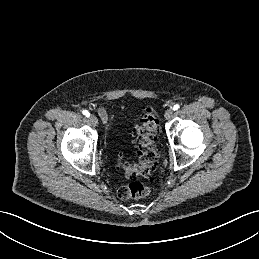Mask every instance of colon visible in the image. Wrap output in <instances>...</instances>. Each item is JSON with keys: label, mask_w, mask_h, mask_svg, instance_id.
<instances>
[{"label": "colon", "mask_w": 259, "mask_h": 259, "mask_svg": "<svg viewBox=\"0 0 259 259\" xmlns=\"http://www.w3.org/2000/svg\"><path fill=\"white\" fill-rule=\"evenodd\" d=\"M159 122L151 109H146L136 127V144L139 162L130 163L119 158L120 165L125 171L126 175L132 179L133 182L121 187L117 194L118 197L127 199H141L149 195L150 187L144 185L135 179L137 177H150L153 168L158 159L156 150L157 132Z\"/></svg>", "instance_id": "1"}]
</instances>
